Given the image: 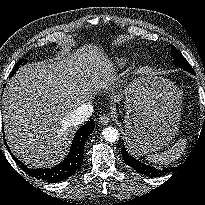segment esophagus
Returning a JSON list of instances; mask_svg holds the SVG:
<instances>
[{"label":"esophagus","mask_w":205,"mask_h":205,"mask_svg":"<svg viewBox=\"0 0 205 205\" xmlns=\"http://www.w3.org/2000/svg\"><path fill=\"white\" fill-rule=\"evenodd\" d=\"M110 120H111V119H110L109 116L104 115V116H102V117L100 118L99 122H100L102 125H107V124H109Z\"/></svg>","instance_id":"34e87169"}]
</instances>
